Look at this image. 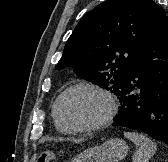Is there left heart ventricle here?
I'll use <instances>...</instances> for the list:
<instances>
[{
    "label": "left heart ventricle",
    "instance_id": "b2bd125f",
    "mask_svg": "<svg viewBox=\"0 0 168 162\" xmlns=\"http://www.w3.org/2000/svg\"><path fill=\"white\" fill-rule=\"evenodd\" d=\"M106 111V100L88 89H79L67 94L60 104L62 120L72 126L95 123L104 117Z\"/></svg>",
    "mask_w": 168,
    "mask_h": 162
}]
</instances>
